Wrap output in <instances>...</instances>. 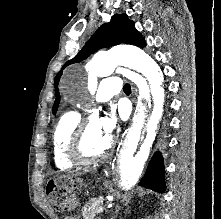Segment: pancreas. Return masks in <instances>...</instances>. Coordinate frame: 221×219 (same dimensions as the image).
Returning a JSON list of instances; mask_svg holds the SVG:
<instances>
[{
  "instance_id": "cf45deb5",
  "label": "pancreas",
  "mask_w": 221,
  "mask_h": 219,
  "mask_svg": "<svg viewBox=\"0 0 221 219\" xmlns=\"http://www.w3.org/2000/svg\"><path fill=\"white\" fill-rule=\"evenodd\" d=\"M102 201V197L89 200L82 208L83 219H94V217L100 213L98 209L101 207Z\"/></svg>"
}]
</instances>
